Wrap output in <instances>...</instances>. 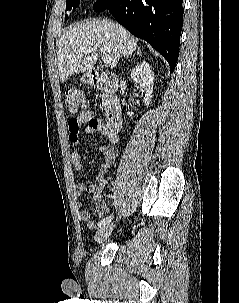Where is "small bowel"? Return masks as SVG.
<instances>
[{"mask_svg":"<svg viewBox=\"0 0 239 303\" xmlns=\"http://www.w3.org/2000/svg\"><path fill=\"white\" fill-rule=\"evenodd\" d=\"M73 125H76V129L73 128ZM67 126L69 130V141L72 146H77L79 144V136L83 127L86 134L99 133L106 136L110 142V144L102 145L99 150L100 154L104 157V162L102 163L97 176L98 192L93 196L96 212L100 217H102L107 211V206L100 194V191L107 183L105 175L116 160L118 151L115 144L118 142V137L109 131L101 118L89 111L83 112L77 117L69 119ZM71 162L76 171L83 172L85 170L82 156L78 151H74L72 153ZM75 191L79 200L89 193L88 187L82 183L76 185ZM78 206L80 208L82 206L80 201L78 202ZM79 218L81 221L86 223L90 230H94L96 228V223L93 221L89 210L81 208Z\"/></svg>","mask_w":239,"mask_h":303,"instance_id":"c3829d8e","label":"small bowel"}]
</instances>
